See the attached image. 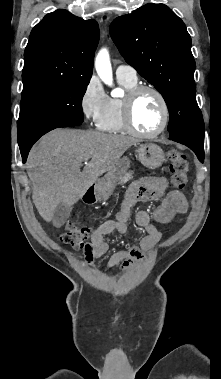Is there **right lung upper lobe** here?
Here are the masks:
<instances>
[{"label": "right lung upper lobe", "mask_w": 221, "mask_h": 379, "mask_svg": "<svg viewBox=\"0 0 221 379\" xmlns=\"http://www.w3.org/2000/svg\"><path fill=\"white\" fill-rule=\"evenodd\" d=\"M99 41L98 23L64 9L47 14L31 31L24 53L23 91L90 79Z\"/></svg>", "instance_id": "right-lung-upper-lobe-1"}]
</instances>
